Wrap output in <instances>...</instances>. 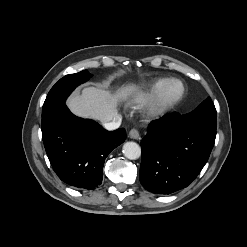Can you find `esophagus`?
I'll use <instances>...</instances> for the list:
<instances>
[{"label": "esophagus", "mask_w": 247, "mask_h": 247, "mask_svg": "<svg viewBox=\"0 0 247 247\" xmlns=\"http://www.w3.org/2000/svg\"><path fill=\"white\" fill-rule=\"evenodd\" d=\"M129 137L131 138V139H139L140 138V134H139V132H138V130H136V129H132L130 132H129Z\"/></svg>", "instance_id": "esophagus-1"}]
</instances>
